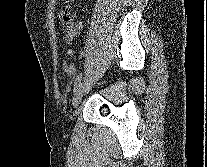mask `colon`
Wrapping results in <instances>:
<instances>
[{
  "instance_id": "1",
  "label": "colon",
  "mask_w": 207,
  "mask_h": 167,
  "mask_svg": "<svg viewBox=\"0 0 207 167\" xmlns=\"http://www.w3.org/2000/svg\"><path fill=\"white\" fill-rule=\"evenodd\" d=\"M59 24L60 26L68 31V35L73 31V20L71 11L68 6H64L59 14Z\"/></svg>"
}]
</instances>
